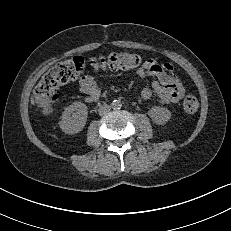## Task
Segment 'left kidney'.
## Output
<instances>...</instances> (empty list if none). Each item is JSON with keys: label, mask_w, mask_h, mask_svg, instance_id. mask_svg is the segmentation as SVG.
I'll use <instances>...</instances> for the list:
<instances>
[{"label": "left kidney", "mask_w": 231, "mask_h": 231, "mask_svg": "<svg viewBox=\"0 0 231 231\" xmlns=\"http://www.w3.org/2000/svg\"><path fill=\"white\" fill-rule=\"evenodd\" d=\"M148 115L157 125H164L171 117L170 111L165 107L154 106L148 111Z\"/></svg>", "instance_id": "left-kidney-1"}]
</instances>
